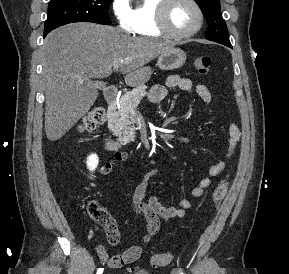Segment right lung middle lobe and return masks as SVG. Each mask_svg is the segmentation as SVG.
Returning a JSON list of instances; mask_svg holds the SVG:
<instances>
[{
    "instance_id": "dd1d6c3e",
    "label": "right lung middle lobe",
    "mask_w": 289,
    "mask_h": 274,
    "mask_svg": "<svg viewBox=\"0 0 289 274\" xmlns=\"http://www.w3.org/2000/svg\"><path fill=\"white\" fill-rule=\"evenodd\" d=\"M111 0H50L44 36L51 30L73 22L111 24L108 9Z\"/></svg>"
}]
</instances>
